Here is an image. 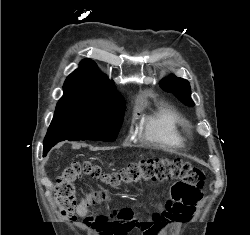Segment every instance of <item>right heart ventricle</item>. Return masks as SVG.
Here are the masks:
<instances>
[{
  "label": "right heart ventricle",
  "mask_w": 250,
  "mask_h": 235,
  "mask_svg": "<svg viewBox=\"0 0 250 235\" xmlns=\"http://www.w3.org/2000/svg\"><path fill=\"white\" fill-rule=\"evenodd\" d=\"M145 138L159 146L180 148L185 145L183 121L175 109L162 105L143 118Z\"/></svg>",
  "instance_id": "obj_1"
}]
</instances>
